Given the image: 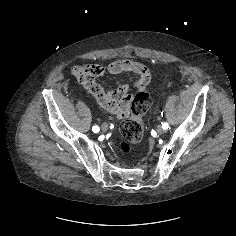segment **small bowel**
<instances>
[{"label":"small bowel","mask_w":236,"mask_h":236,"mask_svg":"<svg viewBox=\"0 0 236 236\" xmlns=\"http://www.w3.org/2000/svg\"><path fill=\"white\" fill-rule=\"evenodd\" d=\"M123 74L128 83L116 90L110 89L107 93L96 81L97 77ZM69 75L73 79H78V84L85 93L94 94L105 110L118 117L128 115L134 93L151 83V73L146 66L131 59L108 61L105 65H94L88 60H81L70 65Z\"/></svg>","instance_id":"c3829d8e"}]
</instances>
